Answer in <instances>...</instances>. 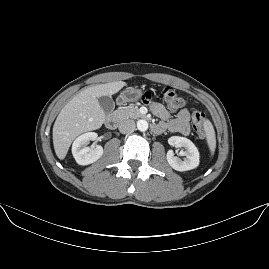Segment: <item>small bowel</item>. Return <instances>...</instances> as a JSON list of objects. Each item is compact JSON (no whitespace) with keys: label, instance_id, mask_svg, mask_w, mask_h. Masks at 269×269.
I'll return each instance as SVG.
<instances>
[{"label":"small bowel","instance_id":"obj_1","mask_svg":"<svg viewBox=\"0 0 269 269\" xmlns=\"http://www.w3.org/2000/svg\"><path fill=\"white\" fill-rule=\"evenodd\" d=\"M153 113L166 121L168 119V113L160 103H153L151 105ZM165 129H168L171 132L180 133L182 135H188L190 133V112L188 109L180 110L176 117L170 121L161 122L154 127L156 133H161Z\"/></svg>","mask_w":269,"mask_h":269}]
</instances>
